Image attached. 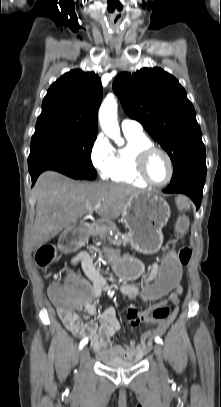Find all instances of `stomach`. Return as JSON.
Instances as JSON below:
<instances>
[{
  "label": "stomach",
  "instance_id": "1",
  "mask_svg": "<svg viewBox=\"0 0 221 407\" xmlns=\"http://www.w3.org/2000/svg\"><path fill=\"white\" fill-rule=\"evenodd\" d=\"M171 211L168 203L151 192L130 196L122 213L129 229L133 249L144 254L156 253L163 242L162 228L167 224ZM117 271L123 278L132 280L142 271V264L131 256H118L114 260Z\"/></svg>",
  "mask_w": 221,
  "mask_h": 407
}]
</instances>
